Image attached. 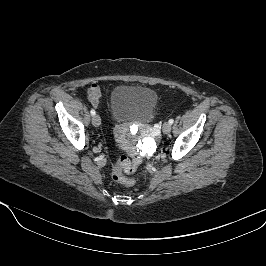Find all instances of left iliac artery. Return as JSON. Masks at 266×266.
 I'll return each mask as SVG.
<instances>
[{
  "mask_svg": "<svg viewBox=\"0 0 266 266\" xmlns=\"http://www.w3.org/2000/svg\"><path fill=\"white\" fill-rule=\"evenodd\" d=\"M173 122H174L173 119H170V120H169V123H170V124H173Z\"/></svg>",
  "mask_w": 266,
  "mask_h": 266,
  "instance_id": "1",
  "label": "left iliac artery"
}]
</instances>
